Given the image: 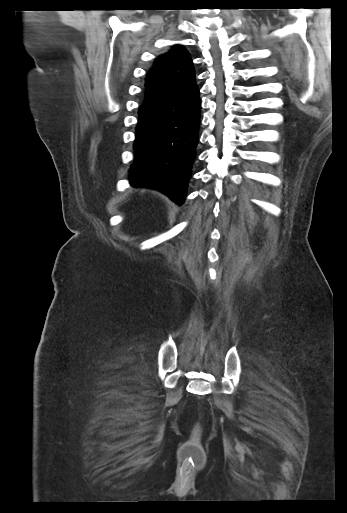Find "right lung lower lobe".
<instances>
[{
  "label": "right lung lower lobe",
  "instance_id": "98d812e1",
  "mask_svg": "<svg viewBox=\"0 0 347 513\" xmlns=\"http://www.w3.org/2000/svg\"><path fill=\"white\" fill-rule=\"evenodd\" d=\"M200 124L196 84L162 98H148L139 109L130 181L157 189L181 205L195 159Z\"/></svg>",
  "mask_w": 347,
  "mask_h": 513
}]
</instances>
